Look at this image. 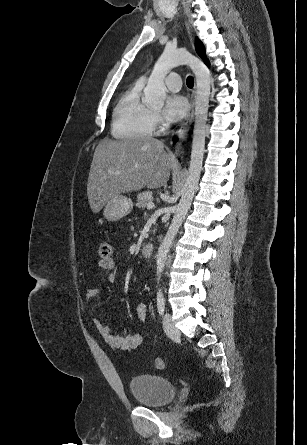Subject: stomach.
<instances>
[{
	"label": "stomach",
	"mask_w": 307,
	"mask_h": 445,
	"mask_svg": "<svg viewBox=\"0 0 307 445\" xmlns=\"http://www.w3.org/2000/svg\"><path fill=\"white\" fill-rule=\"evenodd\" d=\"M133 208L132 198L124 196V194H115L109 198L103 210V216L106 220H119L123 216H127Z\"/></svg>",
	"instance_id": "stomach-1"
}]
</instances>
